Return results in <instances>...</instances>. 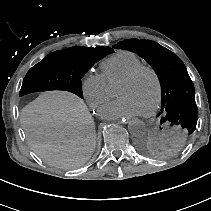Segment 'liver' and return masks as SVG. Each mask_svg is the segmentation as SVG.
I'll return each mask as SVG.
<instances>
[{"instance_id": "6515ba94", "label": "liver", "mask_w": 211, "mask_h": 211, "mask_svg": "<svg viewBox=\"0 0 211 211\" xmlns=\"http://www.w3.org/2000/svg\"><path fill=\"white\" fill-rule=\"evenodd\" d=\"M30 148L51 165L71 169L84 164L96 144L95 124L75 94L49 91L20 112Z\"/></svg>"}]
</instances>
